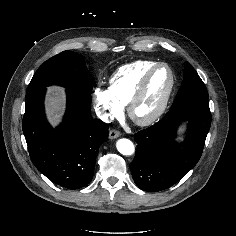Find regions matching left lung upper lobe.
<instances>
[{
  "instance_id": "obj_1",
  "label": "left lung upper lobe",
  "mask_w": 236,
  "mask_h": 236,
  "mask_svg": "<svg viewBox=\"0 0 236 236\" xmlns=\"http://www.w3.org/2000/svg\"><path fill=\"white\" fill-rule=\"evenodd\" d=\"M184 106L209 109L206 86L188 62L185 63L184 80L170 109Z\"/></svg>"
}]
</instances>
